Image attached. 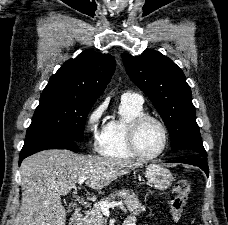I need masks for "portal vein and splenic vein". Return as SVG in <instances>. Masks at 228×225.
<instances>
[{
    "mask_svg": "<svg viewBox=\"0 0 228 225\" xmlns=\"http://www.w3.org/2000/svg\"><path fill=\"white\" fill-rule=\"evenodd\" d=\"M87 179H89V177H79V185H83L84 181H87ZM99 207L102 213H109V209H111V207H121V209H123V203H105V201H101V203H99Z\"/></svg>",
    "mask_w": 228,
    "mask_h": 225,
    "instance_id": "1",
    "label": "portal vein and splenic vein"
}]
</instances>
